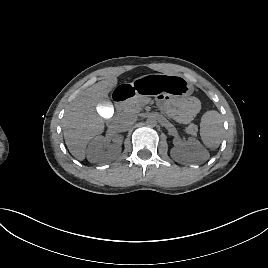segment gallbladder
I'll use <instances>...</instances> for the list:
<instances>
[{"instance_id":"1","label":"gallbladder","mask_w":268,"mask_h":268,"mask_svg":"<svg viewBox=\"0 0 268 268\" xmlns=\"http://www.w3.org/2000/svg\"><path fill=\"white\" fill-rule=\"evenodd\" d=\"M97 112L101 115V117L108 119L114 115L115 109L114 106L108 99H104L100 101L96 105Z\"/></svg>"}]
</instances>
